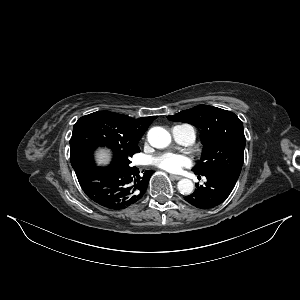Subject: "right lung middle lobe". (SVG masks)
<instances>
[{"label": "right lung middle lobe", "instance_id": "dd1d6c3e", "mask_svg": "<svg viewBox=\"0 0 300 300\" xmlns=\"http://www.w3.org/2000/svg\"><path fill=\"white\" fill-rule=\"evenodd\" d=\"M107 146L114 152V160L129 165V158L139 152L138 143L130 144L119 137L96 112L81 117L73 126L70 139V160L75 168L86 160H92V152L98 146Z\"/></svg>", "mask_w": 300, "mask_h": 300}]
</instances>
